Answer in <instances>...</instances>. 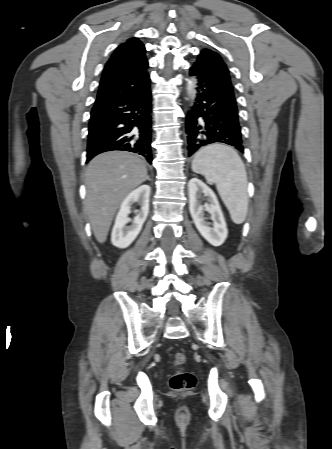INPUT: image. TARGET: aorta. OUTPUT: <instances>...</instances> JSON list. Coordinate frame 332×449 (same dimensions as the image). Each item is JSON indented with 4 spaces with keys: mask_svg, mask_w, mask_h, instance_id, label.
<instances>
[{
    "mask_svg": "<svg viewBox=\"0 0 332 449\" xmlns=\"http://www.w3.org/2000/svg\"><path fill=\"white\" fill-rule=\"evenodd\" d=\"M187 90H188L189 95H190V94L192 93V91H193V82H192L191 80L188 81Z\"/></svg>",
    "mask_w": 332,
    "mask_h": 449,
    "instance_id": "762f6f07",
    "label": "aorta"
}]
</instances>
